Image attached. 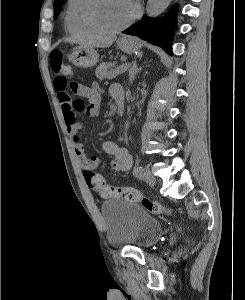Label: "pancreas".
<instances>
[{"instance_id":"cf45deb5","label":"pancreas","mask_w":245,"mask_h":300,"mask_svg":"<svg viewBox=\"0 0 245 300\" xmlns=\"http://www.w3.org/2000/svg\"><path fill=\"white\" fill-rule=\"evenodd\" d=\"M112 63H102L96 69V77L100 80L102 79H110L113 77V72L115 70L112 69Z\"/></svg>"}]
</instances>
